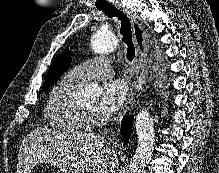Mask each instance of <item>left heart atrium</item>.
<instances>
[{"mask_svg":"<svg viewBox=\"0 0 219 173\" xmlns=\"http://www.w3.org/2000/svg\"><path fill=\"white\" fill-rule=\"evenodd\" d=\"M129 97V88L124 80H111L104 84L98 111L109 115L117 112L126 103Z\"/></svg>","mask_w":219,"mask_h":173,"instance_id":"left-heart-atrium-1","label":"left heart atrium"}]
</instances>
